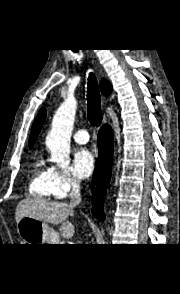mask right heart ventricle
Masks as SVG:
<instances>
[{"label": "right heart ventricle", "mask_w": 180, "mask_h": 294, "mask_svg": "<svg viewBox=\"0 0 180 294\" xmlns=\"http://www.w3.org/2000/svg\"><path fill=\"white\" fill-rule=\"evenodd\" d=\"M51 168L46 165L42 156H37L33 162L28 191L31 196L48 198L52 195Z\"/></svg>", "instance_id": "e07e8e85"}]
</instances>
